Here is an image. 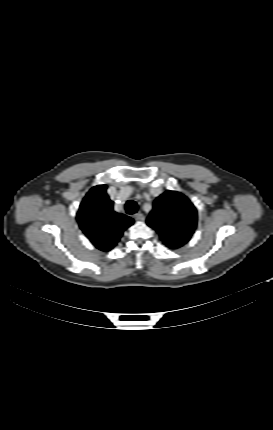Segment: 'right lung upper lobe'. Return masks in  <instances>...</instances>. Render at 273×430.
Listing matches in <instances>:
<instances>
[{
  "label": "right lung upper lobe",
  "instance_id": "1",
  "mask_svg": "<svg viewBox=\"0 0 273 430\" xmlns=\"http://www.w3.org/2000/svg\"><path fill=\"white\" fill-rule=\"evenodd\" d=\"M106 189V185L93 187L77 212L80 228L92 244L102 251L112 249L123 231L133 224V219L113 210V202Z\"/></svg>",
  "mask_w": 273,
  "mask_h": 430
}]
</instances>
